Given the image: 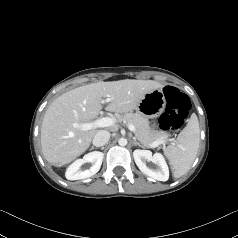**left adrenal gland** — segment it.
Instances as JSON below:
<instances>
[{"mask_svg": "<svg viewBox=\"0 0 238 238\" xmlns=\"http://www.w3.org/2000/svg\"><path fill=\"white\" fill-rule=\"evenodd\" d=\"M133 145H138V146L144 148L143 145H141L139 142L136 141L135 137H133Z\"/></svg>", "mask_w": 238, "mask_h": 238, "instance_id": "left-adrenal-gland-1", "label": "left adrenal gland"}]
</instances>
